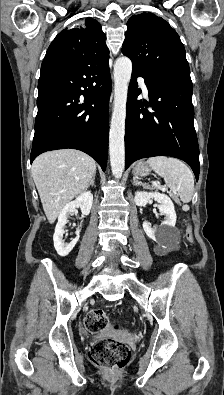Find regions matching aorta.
Wrapping results in <instances>:
<instances>
[{"label":"aorta","mask_w":224,"mask_h":395,"mask_svg":"<svg viewBox=\"0 0 224 395\" xmlns=\"http://www.w3.org/2000/svg\"><path fill=\"white\" fill-rule=\"evenodd\" d=\"M132 62L128 57H119L114 65V107L109 132V154L112 174L121 178L125 166V119L128 86Z\"/></svg>","instance_id":"762f6f07"}]
</instances>
